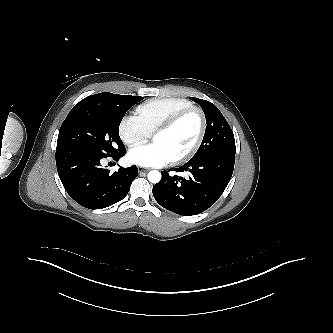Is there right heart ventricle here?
Listing matches in <instances>:
<instances>
[{
  "instance_id": "1",
  "label": "right heart ventricle",
  "mask_w": 333,
  "mask_h": 333,
  "mask_svg": "<svg viewBox=\"0 0 333 333\" xmlns=\"http://www.w3.org/2000/svg\"><path fill=\"white\" fill-rule=\"evenodd\" d=\"M192 106L193 103L185 98H153L139 105L136 111L147 130L153 133L171 116Z\"/></svg>"
}]
</instances>
